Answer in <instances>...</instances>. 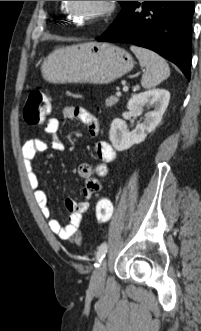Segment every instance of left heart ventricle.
<instances>
[{
    "instance_id": "left-heart-ventricle-1",
    "label": "left heart ventricle",
    "mask_w": 201,
    "mask_h": 331,
    "mask_svg": "<svg viewBox=\"0 0 201 331\" xmlns=\"http://www.w3.org/2000/svg\"><path fill=\"white\" fill-rule=\"evenodd\" d=\"M103 5V1H73L74 10L84 16L97 13Z\"/></svg>"
}]
</instances>
